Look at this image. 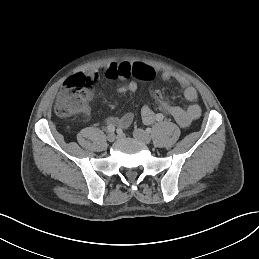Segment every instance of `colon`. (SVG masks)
I'll return each mask as SVG.
<instances>
[{
  "mask_svg": "<svg viewBox=\"0 0 259 259\" xmlns=\"http://www.w3.org/2000/svg\"><path fill=\"white\" fill-rule=\"evenodd\" d=\"M88 84L83 75L71 76L64 82L55 105V112L59 117L76 115L87 107L90 98Z\"/></svg>",
  "mask_w": 259,
  "mask_h": 259,
  "instance_id": "colon-1",
  "label": "colon"
}]
</instances>
